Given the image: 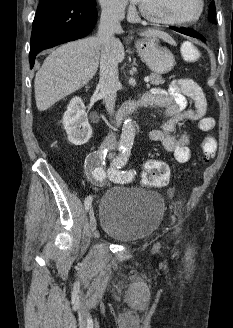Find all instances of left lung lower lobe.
Segmentation results:
<instances>
[{
	"mask_svg": "<svg viewBox=\"0 0 233 328\" xmlns=\"http://www.w3.org/2000/svg\"><path fill=\"white\" fill-rule=\"evenodd\" d=\"M170 28L179 33H182V34L194 37V38L205 40V38L201 34H199L198 32H196L194 30L185 29V28H176V27H170Z\"/></svg>",
	"mask_w": 233,
	"mask_h": 328,
	"instance_id": "obj_1",
	"label": "left lung lower lobe"
}]
</instances>
